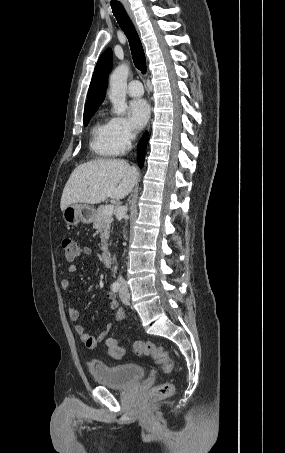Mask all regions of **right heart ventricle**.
<instances>
[{
	"label": "right heart ventricle",
	"instance_id": "e07e8e85",
	"mask_svg": "<svg viewBox=\"0 0 285 453\" xmlns=\"http://www.w3.org/2000/svg\"><path fill=\"white\" fill-rule=\"evenodd\" d=\"M90 148L99 157L116 155L111 138L109 121L99 119L91 129Z\"/></svg>",
	"mask_w": 285,
	"mask_h": 453
}]
</instances>
